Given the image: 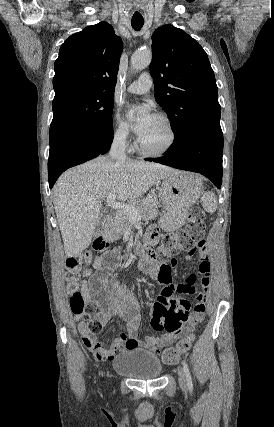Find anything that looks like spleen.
<instances>
[{
    "instance_id": "1",
    "label": "spleen",
    "mask_w": 274,
    "mask_h": 427,
    "mask_svg": "<svg viewBox=\"0 0 274 427\" xmlns=\"http://www.w3.org/2000/svg\"><path fill=\"white\" fill-rule=\"evenodd\" d=\"M194 184L196 186V192L198 190L199 196H200L201 188H202L201 180H196V182H194ZM196 196H198V194H194V196H192L193 200H194V198H196ZM202 206H203L205 212H209V214H213V212H216L218 204H217V198H216L215 194H213V192H206V194H203Z\"/></svg>"
}]
</instances>
